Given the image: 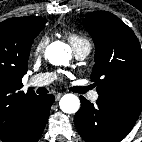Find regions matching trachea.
Here are the masks:
<instances>
[{"mask_svg": "<svg viewBox=\"0 0 142 142\" xmlns=\"http://www.w3.org/2000/svg\"><path fill=\"white\" fill-rule=\"evenodd\" d=\"M89 89H90L89 87H81V88L78 89V92H79V93H85V92L88 91ZM43 93H45V92L39 90V94H43Z\"/></svg>", "mask_w": 142, "mask_h": 142, "instance_id": "trachea-1", "label": "trachea"}]
</instances>
